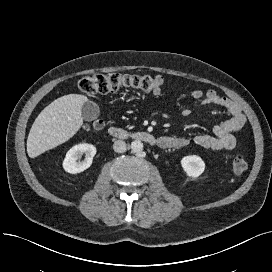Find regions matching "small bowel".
Instances as JSON below:
<instances>
[{
    "instance_id": "1",
    "label": "small bowel",
    "mask_w": 272,
    "mask_h": 272,
    "mask_svg": "<svg viewBox=\"0 0 272 272\" xmlns=\"http://www.w3.org/2000/svg\"><path fill=\"white\" fill-rule=\"evenodd\" d=\"M191 97L203 106L213 105L225 109L230 114V118L217 124L213 128L212 134H198L191 138L164 135L158 138V145L161 148H180L194 144L212 150L234 149L237 145L234 133L242 129L247 122L246 115L240 106L233 100L221 96L215 90L203 92L201 89H193ZM181 114L183 117H189L192 114V109L186 107L182 109Z\"/></svg>"
}]
</instances>
